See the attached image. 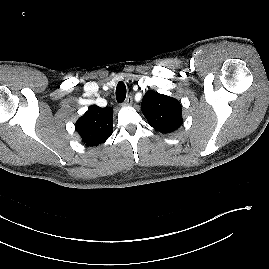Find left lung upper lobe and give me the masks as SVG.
I'll list each match as a JSON object with an SVG mask.
<instances>
[{"label": "left lung upper lobe", "mask_w": 269, "mask_h": 269, "mask_svg": "<svg viewBox=\"0 0 269 269\" xmlns=\"http://www.w3.org/2000/svg\"><path fill=\"white\" fill-rule=\"evenodd\" d=\"M141 110L150 126L161 133L174 132L183 123L179 101L155 91L146 92Z\"/></svg>", "instance_id": "left-lung-upper-lobe-1"}]
</instances>
